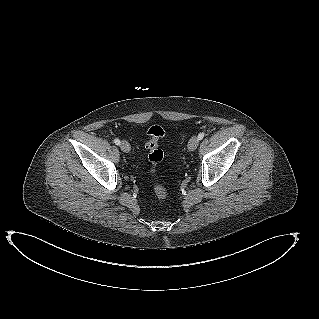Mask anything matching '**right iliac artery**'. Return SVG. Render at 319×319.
<instances>
[{
  "label": "right iliac artery",
  "mask_w": 319,
  "mask_h": 319,
  "mask_svg": "<svg viewBox=\"0 0 319 319\" xmlns=\"http://www.w3.org/2000/svg\"><path fill=\"white\" fill-rule=\"evenodd\" d=\"M114 143H115L116 145H120L121 142H120L119 139L115 138V139H114Z\"/></svg>",
  "instance_id": "right-iliac-artery-1"
}]
</instances>
